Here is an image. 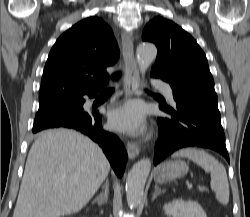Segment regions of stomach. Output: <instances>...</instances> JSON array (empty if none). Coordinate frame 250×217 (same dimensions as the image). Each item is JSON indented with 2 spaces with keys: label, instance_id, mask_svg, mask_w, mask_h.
<instances>
[{
  "label": "stomach",
  "instance_id": "1",
  "mask_svg": "<svg viewBox=\"0 0 250 217\" xmlns=\"http://www.w3.org/2000/svg\"><path fill=\"white\" fill-rule=\"evenodd\" d=\"M189 171V166L181 160L168 161L158 166L154 173L155 181L164 183L183 177Z\"/></svg>",
  "mask_w": 250,
  "mask_h": 217
}]
</instances>
